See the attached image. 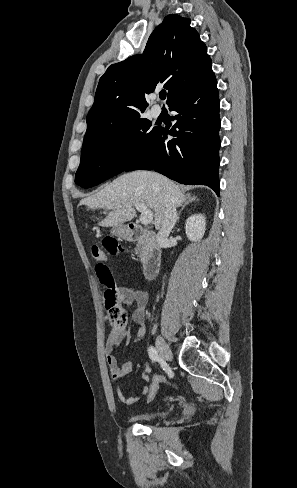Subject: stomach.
Masks as SVG:
<instances>
[{"instance_id":"obj_1","label":"stomach","mask_w":297,"mask_h":488,"mask_svg":"<svg viewBox=\"0 0 297 488\" xmlns=\"http://www.w3.org/2000/svg\"><path fill=\"white\" fill-rule=\"evenodd\" d=\"M112 234L114 236H117V237H120V238H128L129 237V232L127 230V228L125 226H118V227H114L112 229Z\"/></svg>"}]
</instances>
